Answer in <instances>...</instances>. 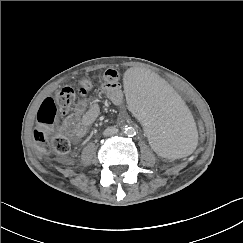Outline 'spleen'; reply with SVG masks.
Returning <instances> with one entry per match:
<instances>
[{"instance_id":"spleen-1","label":"spleen","mask_w":243,"mask_h":243,"mask_svg":"<svg viewBox=\"0 0 243 243\" xmlns=\"http://www.w3.org/2000/svg\"><path fill=\"white\" fill-rule=\"evenodd\" d=\"M123 96L160 156L179 159L193 149L196 142L193 116L157 72L150 69L132 72L124 82Z\"/></svg>"}]
</instances>
